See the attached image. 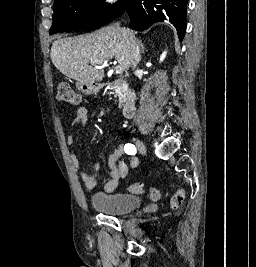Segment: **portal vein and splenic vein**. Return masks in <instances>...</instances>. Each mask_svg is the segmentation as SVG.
<instances>
[{
  "mask_svg": "<svg viewBox=\"0 0 256 267\" xmlns=\"http://www.w3.org/2000/svg\"><path fill=\"white\" fill-rule=\"evenodd\" d=\"M91 64H97L96 60H91ZM99 66H108V60L107 62H101ZM115 70L116 74H122V72H124V68H122V66H116Z\"/></svg>",
  "mask_w": 256,
  "mask_h": 267,
  "instance_id": "1",
  "label": "portal vein and splenic vein"
}]
</instances>
